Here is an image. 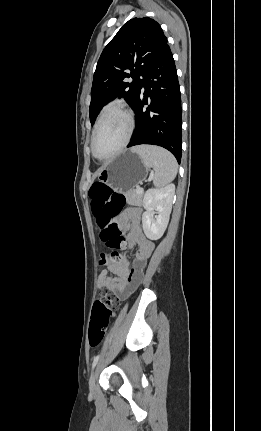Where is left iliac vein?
I'll list each match as a JSON object with an SVG mask.
<instances>
[{
    "mask_svg": "<svg viewBox=\"0 0 261 431\" xmlns=\"http://www.w3.org/2000/svg\"><path fill=\"white\" fill-rule=\"evenodd\" d=\"M96 377H97V369H95L90 377L89 388L91 394L96 392Z\"/></svg>",
    "mask_w": 261,
    "mask_h": 431,
    "instance_id": "left-iliac-vein-1",
    "label": "left iliac vein"
}]
</instances>
